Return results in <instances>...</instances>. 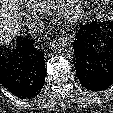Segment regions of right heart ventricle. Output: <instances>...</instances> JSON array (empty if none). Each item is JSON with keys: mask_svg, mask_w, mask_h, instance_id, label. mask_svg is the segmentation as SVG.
<instances>
[{"mask_svg": "<svg viewBox=\"0 0 113 113\" xmlns=\"http://www.w3.org/2000/svg\"><path fill=\"white\" fill-rule=\"evenodd\" d=\"M58 0H25L28 7L31 10L38 12L39 14H48L55 8Z\"/></svg>", "mask_w": 113, "mask_h": 113, "instance_id": "obj_1", "label": "right heart ventricle"}]
</instances>
